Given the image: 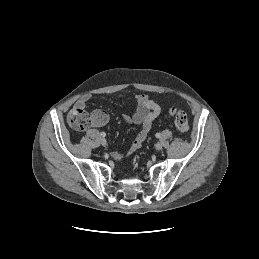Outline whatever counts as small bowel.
<instances>
[{
  "instance_id": "c3829d8e",
  "label": "small bowel",
  "mask_w": 259,
  "mask_h": 259,
  "mask_svg": "<svg viewBox=\"0 0 259 259\" xmlns=\"http://www.w3.org/2000/svg\"><path fill=\"white\" fill-rule=\"evenodd\" d=\"M87 100L88 97L86 96L80 98L77 101L76 106L84 108ZM161 111V106L147 96L138 95L136 97V111L132 115H124L123 119L128 124L140 126V130L126 153H122L120 151L113 153L112 156L115 160H122L125 156L131 155L141 147L143 141L146 139L152 128L154 120L158 117ZM108 118L107 112L102 109H96L93 111V124L97 127L105 125Z\"/></svg>"
}]
</instances>
